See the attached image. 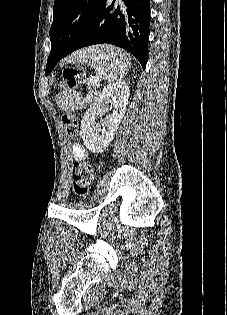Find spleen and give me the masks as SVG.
<instances>
[{"label":"spleen","mask_w":227,"mask_h":315,"mask_svg":"<svg viewBox=\"0 0 227 315\" xmlns=\"http://www.w3.org/2000/svg\"><path fill=\"white\" fill-rule=\"evenodd\" d=\"M67 63H89L98 71L99 76L109 82L120 81L128 73L130 67V58L128 54L112 46H94L74 52L66 59ZM92 86H98L92 83ZM93 95L81 98L79 93L62 92L58 97V103L64 108L79 109L83 108L86 103L94 101Z\"/></svg>","instance_id":"3e777b00"}]
</instances>
